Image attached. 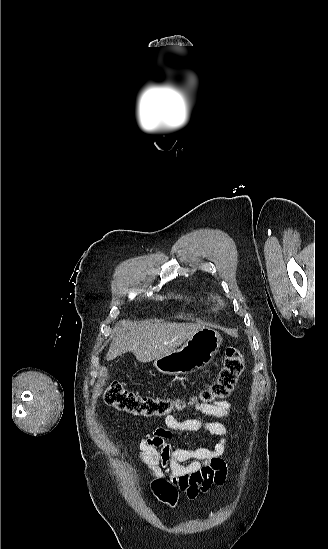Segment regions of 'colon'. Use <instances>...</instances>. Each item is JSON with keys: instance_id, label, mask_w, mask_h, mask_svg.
<instances>
[{"instance_id": "1", "label": "colon", "mask_w": 328, "mask_h": 549, "mask_svg": "<svg viewBox=\"0 0 328 549\" xmlns=\"http://www.w3.org/2000/svg\"><path fill=\"white\" fill-rule=\"evenodd\" d=\"M245 357L242 352L229 347L226 350L224 365L216 379L205 387L189 404L202 402L211 404L225 399L232 391L238 377L243 371ZM104 401L121 411L142 416H165L176 410H182L186 402L181 399H169L165 397H152L139 395L125 389L120 383L112 382L104 392ZM152 489L159 499L169 506L177 502V486L166 479H156L152 483Z\"/></svg>"}]
</instances>
